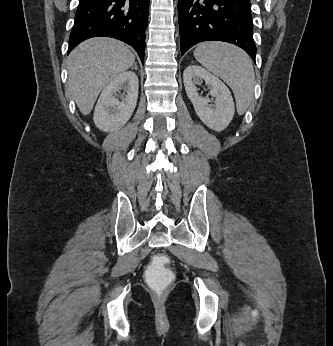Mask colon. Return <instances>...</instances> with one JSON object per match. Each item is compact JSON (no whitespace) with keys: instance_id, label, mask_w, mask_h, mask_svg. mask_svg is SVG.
I'll return each instance as SVG.
<instances>
[{"instance_id":"1","label":"colon","mask_w":333,"mask_h":346,"mask_svg":"<svg viewBox=\"0 0 333 346\" xmlns=\"http://www.w3.org/2000/svg\"><path fill=\"white\" fill-rule=\"evenodd\" d=\"M146 269L143 270L144 279L148 281V288H152L153 294H167L170 281L175 279V274L168 269L169 258L163 254L150 257Z\"/></svg>"}]
</instances>
